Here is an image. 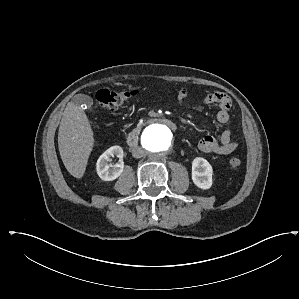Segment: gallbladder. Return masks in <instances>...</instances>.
Instances as JSON below:
<instances>
[{"label": "gallbladder", "instance_id": "1", "mask_svg": "<svg viewBox=\"0 0 299 299\" xmlns=\"http://www.w3.org/2000/svg\"><path fill=\"white\" fill-rule=\"evenodd\" d=\"M73 103L79 106H84L85 109L91 111L93 100L90 96L84 94H77L73 97Z\"/></svg>", "mask_w": 299, "mask_h": 299}]
</instances>
